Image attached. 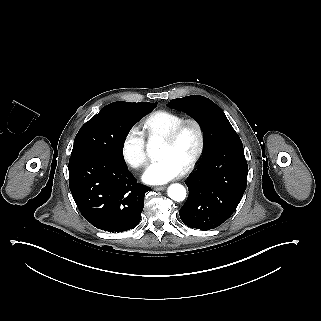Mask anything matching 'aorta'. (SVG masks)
Wrapping results in <instances>:
<instances>
[{
  "instance_id": "1",
  "label": "aorta",
  "mask_w": 321,
  "mask_h": 321,
  "mask_svg": "<svg viewBox=\"0 0 321 321\" xmlns=\"http://www.w3.org/2000/svg\"><path fill=\"white\" fill-rule=\"evenodd\" d=\"M148 153L151 157H156L158 154V146L156 141H150L148 145ZM168 196L177 202L183 201L186 198V189L181 184H172L168 188Z\"/></svg>"
}]
</instances>
